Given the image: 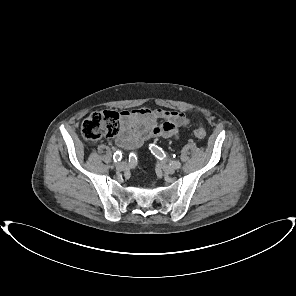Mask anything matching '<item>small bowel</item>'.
<instances>
[{"label": "small bowel", "mask_w": 296, "mask_h": 296, "mask_svg": "<svg viewBox=\"0 0 296 296\" xmlns=\"http://www.w3.org/2000/svg\"><path fill=\"white\" fill-rule=\"evenodd\" d=\"M188 123V117L176 110L137 108L123 111L116 144L119 147L138 148L153 138L177 139L179 129Z\"/></svg>", "instance_id": "c3829d8e"}]
</instances>
